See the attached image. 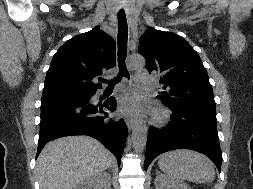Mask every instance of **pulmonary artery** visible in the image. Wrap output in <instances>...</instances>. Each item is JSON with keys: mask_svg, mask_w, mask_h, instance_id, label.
I'll list each match as a JSON object with an SVG mask.
<instances>
[{"mask_svg": "<svg viewBox=\"0 0 253 189\" xmlns=\"http://www.w3.org/2000/svg\"><path fill=\"white\" fill-rule=\"evenodd\" d=\"M136 81L140 86L146 87L151 85L152 77L147 73L136 75Z\"/></svg>", "mask_w": 253, "mask_h": 189, "instance_id": "pulmonary-artery-1", "label": "pulmonary artery"}]
</instances>
